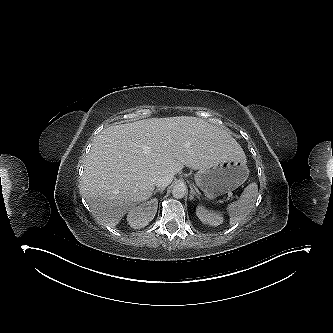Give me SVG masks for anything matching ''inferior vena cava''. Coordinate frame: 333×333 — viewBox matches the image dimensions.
I'll return each instance as SVG.
<instances>
[{
    "label": "inferior vena cava",
    "instance_id": "inferior-vena-cava-1",
    "mask_svg": "<svg viewBox=\"0 0 333 333\" xmlns=\"http://www.w3.org/2000/svg\"><path fill=\"white\" fill-rule=\"evenodd\" d=\"M174 176L171 174L159 175L155 181L158 188H166L173 181Z\"/></svg>",
    "mask_w": 333,
    "mask_h": 333
}]
</instances>
